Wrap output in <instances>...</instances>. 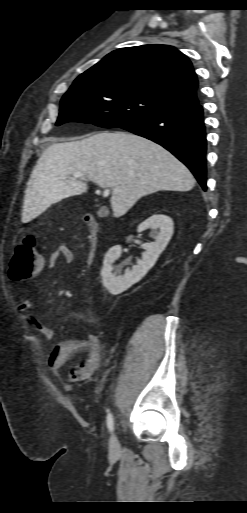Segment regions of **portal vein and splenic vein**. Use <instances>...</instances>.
<instances>
[{
    "instance_id": "1",
    "label": "portal vein and splenic vein",
    "mask_w": 247,
    "mask_h": 513,
    "mask_svg": "<svg viewBox=\"0 0 247 513\" xmlns=\"http://www.w3.org/2000/svg\"><path fill=\"white\" fill-rule=\"evenodd\" d=\"M81 176H82V174H81L80 172H75V173H73V174H72V177H73V178H79V177H81ZM99 187H100V188H104V186H103V185H99ZM99 192H100V190H99ZM109 192H110V189H109V188L104 189L103 194H102V195H103V197H107V196L109 195Z\"/></svg>"
}]
</instances>
